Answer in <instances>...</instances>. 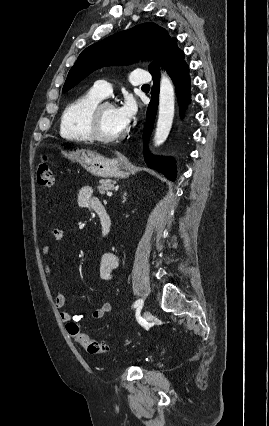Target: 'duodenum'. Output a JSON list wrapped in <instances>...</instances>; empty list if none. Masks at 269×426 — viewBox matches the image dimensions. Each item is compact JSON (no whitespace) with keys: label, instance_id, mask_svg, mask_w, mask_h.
Here are the masks:
<instances>
[{"label":"duodenum","instance_id":"410a0bca","mask_svg":"<svg viewBox=\"0 0 269 426\" xmlns=\"http://www.w3.org/2000/svg\"><path fill=\"white\" fill-rule=\"evenodd\" d=\"M95 213L100 221L101 234L107 236L112 230V219L108 211L102 205L95 209Z\"/></svg>","mask_w":269,"mask_h":426}]
</instances>
